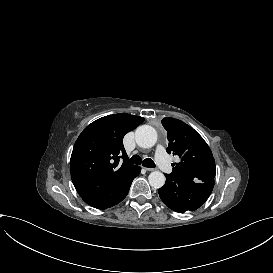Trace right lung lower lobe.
<instances>
[{
  "label": "right lung lower lobe",
  "mask_w": 273,
  "mask_h": 273,
  "mask_svg": "<svg viewBox=\"0 0 273 273\" xmlns=\"http://www.w3.org/2000/svg\"><path fill=\"white\" fill-rule=\"evenodd\" d=\"M141 171V168L138 167L134 173V175L129 179L127 180L122 186L121 188L118 190V193L115 197V199L108 205L104 206V207H100L99 209H106V208H109V207H112L116 204H118L119 202H121L127 195L129 189H130V186H131V183L133 181V179L139 175Z\"/></svg>",
  "instance_id": "98d812e1"
}]
</instances>
